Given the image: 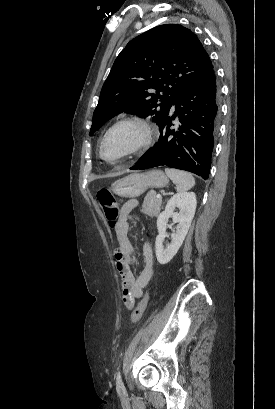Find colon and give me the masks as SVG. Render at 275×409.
<instances>
[{
  "label": "colon",
  "instance_id": "5ec220e1",
  "mask_svg": "<svg viewBox=\"0 0 275 409\" xmlns=\"http://www.w3.org/2000/svg\"><path fill=\"white\" fill-rule=\"evenodd\" d=\"M96 199L103 211L105 218L111 227H113L119 216V204L116 198L108 190H101L97 193ZM148 297H144L140 303L133 309L130 315L131 323L135 324L141 320L147 307Z\"/></svg>",
  "mask_w": 275,
  "mask_h": 409
}]
</instances>
